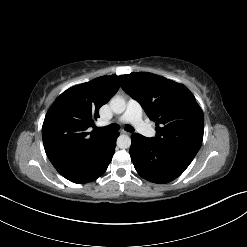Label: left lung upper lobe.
Here are the masks:
<instances>
[{"label":"left lung upper lobe","mask_w":247,"mask_h":247,"mask_svg":"<svg viewBox=\"0 0 247 247\" xmlns=\"http://www.w3.org/2000/svg\"><path fill=\"white\" fill-rule=\"evenodd\" d=\"M122 89L155 121L151 140L163 150L193 160L201 147L203 112L183 85L151 73L120 76Z\"/></svg>","instance_id":"5c2ea615"}]
</instances>
